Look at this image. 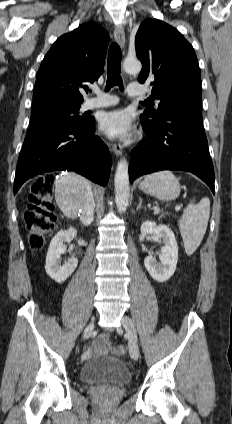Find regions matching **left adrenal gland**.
<instances>
[{"mask_svg": "<svg viewBox=\"0 0 232 424\" xmlns=\"http://www.w3.org/2000/svg\"><path fill=\"white\" fill-rule=\"evenodd\" d=\"M141 208H144V207L142 206V198L140 197V198H139V204H138V206H137L136 210L138 211V210H139V209H141Z\"/></svg>", "mask_w": 232, "mask_h": 424, "instance_id": "1", "label": "left adrenal gland"}]
</instances>
